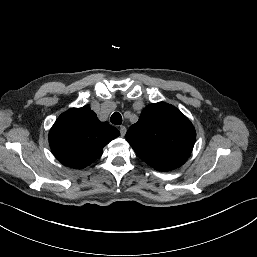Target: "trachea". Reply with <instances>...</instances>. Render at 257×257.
I'll return each instance as SVG.
<instances>
[{"label":"trachea","instance_id":"obj_1","mask_svg":"<svg viewBox=\"0 0 257 257\" xmlns=\"http://www.w3.org/2000/svg\"><path fill=\"white\" fill-rule=\"evenodd\" d=\"M110 120H111V123H113L115 125H120L122 123V116L120 113L115 112L112 114Z\"/></svg>","mask_w":257,"mask_h":257}]
</instances>
